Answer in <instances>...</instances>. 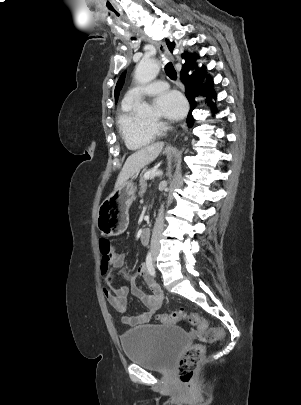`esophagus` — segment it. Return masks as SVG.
Segmentation results:
<instances>
[{
	"mask_svg": "<svg viewBox=\"0 0 301 405\" xmlns=\"http://www.w3.org/2000/svg\"><path fill=\"white\" fill-rule=\"evenodd\" d=\"M138 34L140 35V37H141L142 39H144V40H146V41H152V39H151L145 32L140 31ZM156 45H157V47H158V49H159V52H160V54L162 55V57L168 58V59H170L171 61H173V57L171 56V54H170V52H169V50H168V48H167L165 42L160 41V42H157ZM184 128H185V124H184Z\"/></svg>",
	"mask_w": 301,
	"mask_h": 405,
	"instance_id": "34e87169",
	"label": "esophagus"
}]
</instances>
